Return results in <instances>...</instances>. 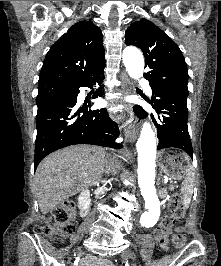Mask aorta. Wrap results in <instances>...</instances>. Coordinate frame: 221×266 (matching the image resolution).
<instances>
[{
  "label": "aorta",
  "mask_w": 221,
  "mask_h": 266,
  "mask_svg": "<svg viewBox=\"0 0 221 266\" xmlns=\"http://www.w3.org/2000/svg\"><path fill=\"white\" fill-rule=\"evenodd\" d=\"M123 63L131 78L138 79L143 75L144 59L138 49L126 48L123 51ZM136 148L138 151V184L148 210L142 214L141 224L149 227L158 220L160 203L154 186L156 138L155 132L147 122L143 125Z\"/></svg>",
  "instance_id": "obj_1"
}]
</instances>
